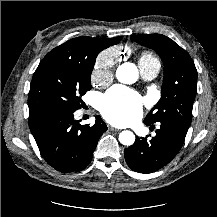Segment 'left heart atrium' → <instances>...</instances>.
<instances>
[{
  "instance_id": "obj_1",
  "label": "left heart atrium",
  "mask_w": 217,
  "mask_h": 217,
  "mask_svg": "<svg viewBox=\"0 0 217 217\" xmlns=\"http://www.w3.org/2000/svg\"><path fill=\"white\" fill-rule=\"evenodd\" d=\"M141 96L121 85L110 89L102 98L100 112L112 124L125 126L137 120L142 113Z\"/></svg>"
}]
</instances>
